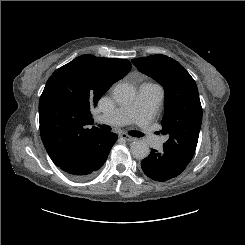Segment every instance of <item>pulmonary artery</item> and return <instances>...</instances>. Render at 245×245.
Returning <instances> with one entry per match:
<instances>
[{
	"label": "pulmonary artery",
	"instance_id": "1",
	"mask_svg": "<svg viewBox=\"0 0 245 245\" xmlns=\"http://www.w3.org/2000/svg\"><path fill=\"white\" fill-rule=\"evenodd\" d=\"M163 97L164 92L159 85L143 83L131 103L118 107L111 113L100 115L97 121L109 125H122L134 120L145 139L157 141V147L160 148L162 140L154 133L152 119L159 112Z\"/></svg>",
	"mask_w": 245,
	"mask_h": 245
}]
</instances>
